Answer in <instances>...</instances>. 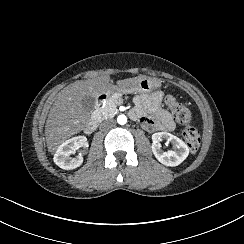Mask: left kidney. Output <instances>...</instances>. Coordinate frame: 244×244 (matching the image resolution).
<instances>
[{"instance_id":"5707ae66","label":"left kidney","mask_w":244,"mask_h":244,"mask_svg":"<svg viewBox=\"0 0 244 244\" xmlns=\"http://www.w3.org/2000/svg\"><path fill=\"white\" fill-rule=\"evenodd\" d=\"M166 139L173 145V150L164 152L161 149L160 141ZM152 151L157 160L165 166H178L181 164L188 156L189 149L188 146L178 137L168 133V132H157L152 135Z\"/></svg>"}]
</instances>
